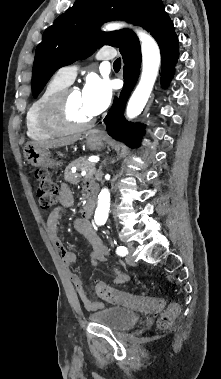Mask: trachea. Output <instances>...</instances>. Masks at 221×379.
<instances>
[{"mask_svg":"<svg viewBox=\"0 0 221 379\" xmlns=\"http://www.w3.org/2000/svg\"><path fill=\"white\" fill-rule=\"evenodd\" d=\"M113 65L115 67H120L121 66V59L120 58L116 59Z\"/></svg>","mask_w":221,"mask_h":379,"instance_id":"1","label":"trachea"}]
</instances>
